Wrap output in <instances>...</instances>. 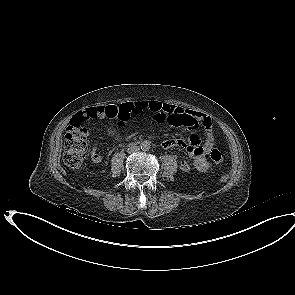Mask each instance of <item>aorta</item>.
I'll use <instances>...</instances> for the list:
<instances>
[{"label": "aorta", "mask_w": 295, "mask_h": 295, "mask_svg": "<svg viewBox=\"0 0 295 295\" xmlns=\"http://www.w3.org/2000/svg\"><path fill=\"white\" fill-rule=\"evenodd\" d=\"M141 149L143 151H148L150 149V142L149 141H143L140 145Z\"/></svg>", "instance_id": "aorta-1"}]
</instances>
